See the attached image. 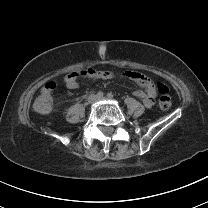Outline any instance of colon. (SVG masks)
<instances>
[{"label":"colon","instance_id":"1","mask_svg":"<svg viewBox=\"0 0 208 208\" xmlns=\"http://www.w3.org/2000/svg\"><path fill=\"white\" fill-rule=\"evenodd\" d=\"M80 77V72L70 73L68 75V82L72 83L73 78ZM157 90L159 92L160 98L158 105L162 110H167L171 107V96L170 89L168 85L163 81H157ZM59 89V84L55 80L48 81L41 91L37 95V101L35 103V110L39 114H46L53 107V100L57 97V90Z\"/></svg>","mask_w":208,"mask_h":208}]
</instances>
